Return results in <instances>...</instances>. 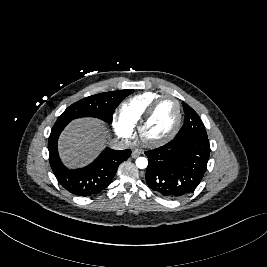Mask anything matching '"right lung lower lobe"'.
<instances>
[{
  "label": "right lung lower lobe",
  "instance_id": "1",
  "mask_svg": "<svg viewBox=\"0 0 267 267\" xmlns=\"http://www.w3.org/2000/svg\"><path fill=\"white\" fill-rule=\"evenodd\" d=\"M67 124H54L49 136L48 150L52 171L58 182L70 193L83 197L97 194L108 186L119 164L131 155V150L106 148L90 165L69 170L61 162L57 150L58 137Z\"/></svg>",
  "mask_w": 267,
  "mask_h": 267
}]
</instances>
